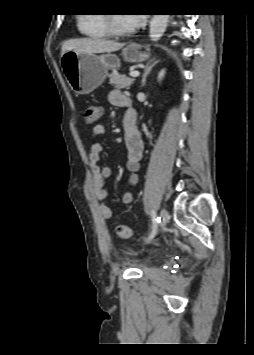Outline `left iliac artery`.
I'll return each instance as SVG.
<instances>
[{
    "label": "left iliac artery",
    "mask_w": 254,
    "mask_h": 355,
    "mask_svg": "<svg viewBox=\"0 0 254 355\" xmlns=\"http://www.w3.org/2000/svg\"><path fill=\"white\" fill-rule=\"evenodd\" d=\"M151 216H152L153 226H152V231H151L150 235L146 239V242L151 241L155 237L156 232H157V226L161 222L160 217H157L154 210L151 211Z\"/></svg>",
    "instance_id": "obj_1"
}]
</instances>
